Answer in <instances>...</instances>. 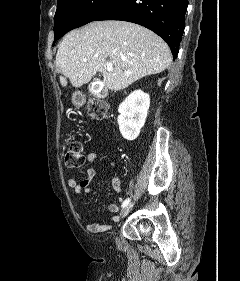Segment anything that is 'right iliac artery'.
<instances>
[{"label": "right iliac artery", "instance_id": "obj_1", "mask_svg": "<svg viewBox=\"0 0 240 281\" xmlns=\"http://www.w3.org/2000/svg\"><path fill=\"white\" fill-rule=\"evenodd\" d=\"M129 202H130V199H129V198L126 199V200H124V202L122 203V207H123V208L126 207V206L129 204Z\"/></svg>", "mask_w": 240, "mask_h": 281}]
</instances>
